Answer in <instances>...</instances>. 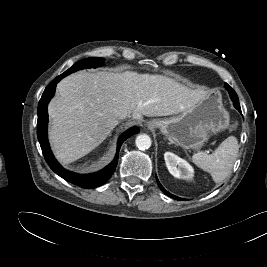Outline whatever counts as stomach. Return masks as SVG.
<instances>
[{
    "mask_svg": "<svg viewBox=\"0 0 267 267\" xmlns=\"http://www.w3.org/2000/svg\"><path fill=\"white\" fill-rule=\"evenodd\" d=\"M229 113L218 92L207 93L194 108L165 119H154L152 128H159L171 142L184 149H200L212 135L229 128Z\"/></svg>",
    "mask_w": 267,
    "mask_h": 267,
    "instance_id": "1",
    "label": "stomach"
}]
</instances>
